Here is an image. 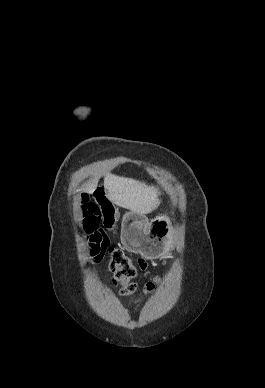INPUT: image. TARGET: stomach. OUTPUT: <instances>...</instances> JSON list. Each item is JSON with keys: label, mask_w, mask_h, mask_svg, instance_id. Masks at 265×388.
Masks as SVG:
<instances>
[{"label": "stomach", "mask_w": 265, "mask_h": 388, "mask_svg": "<svg viewBox=\"0 0 265 388\" xmlns=\"http://www.w3.org/2000/svg\"><path fill=\"white\" fill-rule=\"evenodd\" d=\"M173 227L167 216L149 221L145 215L128 212L122 219L121 242L124 248L148 259L165 254L171 246Z\"/></svg>", "instance_id": "1"}]
</instances>
